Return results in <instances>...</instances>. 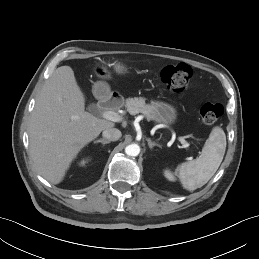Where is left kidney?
<instances>
[{
  "label": "left kidney",
  "mask_w": 259,
  "mask_h": 259,
  "mask_svg": "<svg viewBox=\"0 0 259 259\" xmlns=\"http://www.w3.org/2000/svg\"><path fill=\"white\" fill-rule=\"evenodd\" d=\"M164 175H165V177H166L168 180H170V181H174V180H175V177H174V175L171 173L170 170H165V171H164Z\"/></svg>",
  "instance_id": "5707ae66"
}]
</instances>
